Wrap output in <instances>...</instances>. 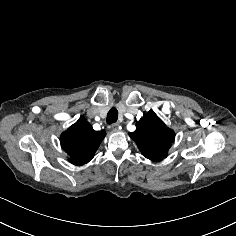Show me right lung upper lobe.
Masks as SVG:
<instances>
[{"mask_svg": "<svg viewBox=\"0 0 236 236\" xmlns=\"http://www.w3.org/2000/svg\"><path fill=\"white\" fill-rule=\"evenodd\" d=\"M105 135L104 130H93L90 123L84 117H80L75 124L61 134L60 142L69 156V161L74 165H83L94 157Z\"/></svg>", "mask_w": 236, "mask_h": 236, "instance_id": "1", "label": "right lung upper lobe"}]
</instances>
